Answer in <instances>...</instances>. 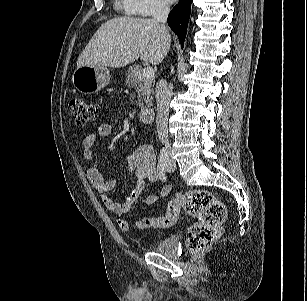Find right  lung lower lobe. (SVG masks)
<instances>
[{"label": "right lung lower lobe", "instance_id": "98d812e1", "mask_svg": "<svg viewBox=\"0 0 307 301\" xmlns=\"http://www.w3.org/2000/svg\"><path fill=\"white\" fill-rule=\"evenodd\" d=\"M191 2L192 0H180L169 13L167 18L168 25L178 36L181 47L184 46L188 20L191 12Z\"/></svg>", "mask_w": 307, "mask_h": 301}]
</instances>
